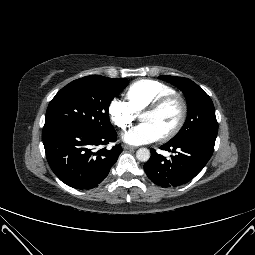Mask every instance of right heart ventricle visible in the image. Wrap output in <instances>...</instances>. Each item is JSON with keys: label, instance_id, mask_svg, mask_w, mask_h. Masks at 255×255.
I'll return each mask as SVG.
<instances>
[{"label": "right heart ventricle", "instance_id": "e07e8e85", "mask_svg": "<svg viewBox=\"0 0 255 255\" xmlns=\"http://www.w3.org/2000/svg\"><path fill=\"white\" fill-rule=\"evenodd\" d=\"M173 92L174 89L168 84L157 80L145 79L130 85L125 91V97L131 109L135 113H139L159 97Z\"/></svg>", "mask_w": 255, "mask_h": 255}]
</instances>
